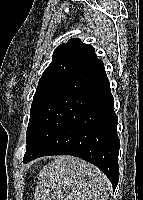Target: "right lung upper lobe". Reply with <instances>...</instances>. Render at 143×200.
<instances>
[{"label": "right lung upper lobe", "instance_id": "right-lung-upper-lobe-1", "mask_svg": "<svg viewBox=\"0 0 143 200\" xmlns=\"http://www.w3.org/2000/svg\"><path fill=\"white\" fill-rule=\"evenodd\" d=\"M52 57V62L40 80L51 77L66 78L98 61L94 48L78 38H72L66 44L59 45Z\"/></svg>", "mask_w": 143, "mask_h": 200}]
</instances>
